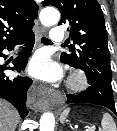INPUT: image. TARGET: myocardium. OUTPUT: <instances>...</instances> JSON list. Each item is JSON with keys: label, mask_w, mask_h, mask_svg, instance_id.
I'll return each mask as SVG.
<instances>
[{"label": "myocardium", "mask_w": 117, "mask_h": 131, "mask_svg": "<svg viewBox=\"0 0 117 131\" xmlns=\"http://www.w3.org/2000/svg\"><path fill=\"white\" fill-rule=\"evenodd\" d=\"M67 86L72 91H81L88 86V80L84 73L75 71L69 76Z\"/></svg>", "instance_id": "1"}]
</instances>
